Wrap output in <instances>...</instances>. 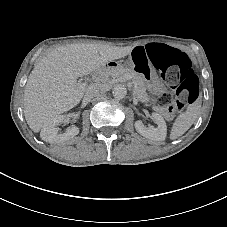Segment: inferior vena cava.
I'll use <instances>...</instances> for the list:
<instances>
[{
	"label": "inferior vena cava",
	"mask_w": 227,
	"mask_h": 227,
	"mask_svg": "<svg viewBox=\"0 0 227 227\" xmlns=\"http://www.w3.org/2000/svg\"><path fill=\"white\" fill-rule=\"evenodd\" d=\"M89 91L94 98H101L105 94V89L98 83H95Z\"/></svg>",
	"instance_id": "1"
}]
</instances>
